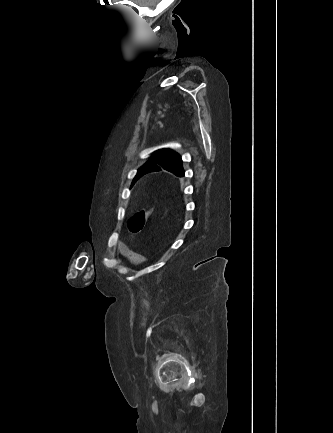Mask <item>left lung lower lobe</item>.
I'll return each instance as SVG.
<instances>
[{"mask_svg":"<svg viewBox=\"0 0 333 433\" xmlns=\"http://www.w3.org/2000/svg\"><path fill=\"white\" fill-rule=\"evenodd\" d=\"M151 169H152V168H147V169L144 170V172H145L146 170H151ZM144 172H143L142 174H140L139 176H137V177L135 178L134 182L137 181L141 176H143L144 174H146V173H144Z\"/></svg>","mask_w":333,"mask_h":433,"instance_id":"left-lung-lower-lobe-1","label":"left lung lower lobe"}]
</instances>
